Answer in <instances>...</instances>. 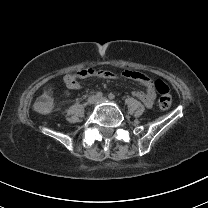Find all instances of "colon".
<instances>
[{"instance_id": "1", "label": "colon", "mask_w": 208, "mask_h": 208, "mask_svg": "<svg viewBox=\"0 0 208 208\" xmlns=\"http://www.w3.org/2000/svg\"><path fill=\"white\" fill-rule=\"evenodd\" d=\"M154 86L159 94L158 106L162 110L170 108L172 103L171 90L168 84L161 78L154 81ZM58 85L56 82L51 81L46 84L40 92L38 99L35 102L36 110L39 113H49L54 107V99L58 96Z\"/></svg>"}]
</instances>
